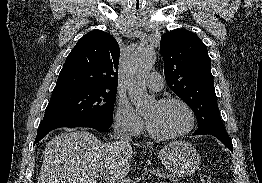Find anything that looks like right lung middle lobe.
<instances>
[{"label": "right lung middle lobe", "instance_id": "1", "mask_svg": "<svg viewBox=\"0 0 262 183\" xmlns=\"http://www.w3.org/2000/svg\"><path fill=\"white\" fill-rule=\"evenodd\" d=\"M115 89L82 88L53 92L43 121L68 118L113 120Z\"/></svg>", "mask_w": 262, "mask_h": 183}]
</instances>
